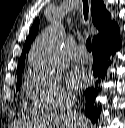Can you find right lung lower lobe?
<instances>
[{"instance_id":"obj_1","label":"right lung lower lobe","mask_w":125,"mask_h":128,"mask_svg":"<svg viewBox=\"0 0 125 128\" xmlns=\"http://www.w3.org/2000/svg\"><path fill=\"white\" fill-rule=\"evenodd\" d=\"M93 75L96 78L95 86L85 90V115L92 122H96L101 113V107L95 105V97L99 92V82L105 77L106 69L111 64L110 55H114L121 47L119 27L115 24L105 33L93 41Z\"/></svg>"}]
</instances>
